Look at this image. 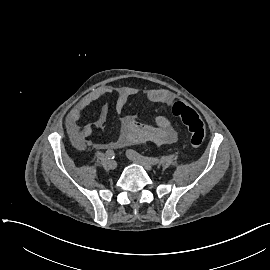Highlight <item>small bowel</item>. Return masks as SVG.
<instances>
[{"mask_svg":"<svg viewBox=\"0 0 270 270\" xmlns=\"http://www.w3.org/2000/svg\"><path fill=\"white\" fill-rule=\"evenodd\" d=\"M115 93L117 95L114 109L117 114H122L129 98L133 95L132 88H113L102 86L85 95L80 102L69 112L66 127L69 135L78 142H84L92 134V124L81 125L79 122L85 110L98 99ZM146 99L151 103L170 104L174 95L166 89H153L146 92ZM107 109L101 111L94 125L103 129L107 120ZM178 138L177 130L172 121L165 116L155 117L152 125L143 124L132 115L121 118V128L118 138L108 144L100 145L102 149L123 148L126 146L150 142L156 145H170Z\"/></svg>","mask_w":270,"mask_h":270,"instance_id":"small-bowel-1","label":"small bowel"}]
</instances>
